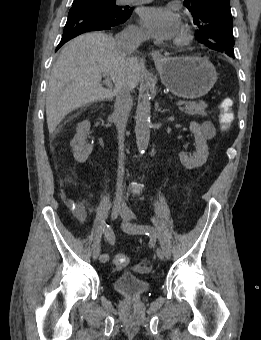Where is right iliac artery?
<instances>
[{"label":"right iliac artery","instance_id":"obj_1","mask_svg":"<svg viewBox=\"0 0 261 340\" xmlns=\"http://www.w3.org/2000/svg\"><path fill=\"white\" fill-rule=\"evenodd\" d=\"M102 232L105 236V238L107 239V241L109 242L110 245H114L115 244V234L113 232V230L111 229V227L108 225V224H103L102 227ZM110 257H109V254L107 253H102L100 255V262L101 263H107L109 261Z\"/></svg>","mask_w":261,"mask_h":340}]
</instances>
